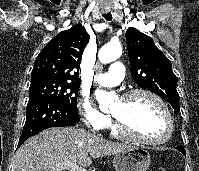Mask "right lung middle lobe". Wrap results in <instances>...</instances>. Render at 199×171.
I'll use <instances>...</instances> for the list:
<instances>
[{"instance_id": "1", "label": "right lung middle lobe", "mask_w": 199, "mask_h": 171, "mask_svg": "<svg viewBox=\"0 0 199 171\" xmlns=\"http://www.w3.org/2000/svg\"><path fill=\"white\" fill-rule=\"evenodd\" d=\"M80 83L70 82L49 76L31 78L29 98L45 95L57 99L69 108L76 110L77 93Z\"/></svg>"}]
</instances>
